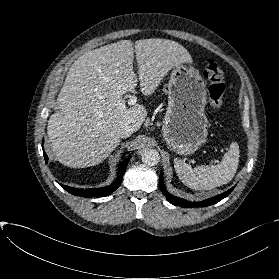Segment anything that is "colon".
<instances>
[{
    "label": "colon",
    "instance_id": "5ec220e1",
    "mask_svg": "<svg viewBox=\"0 0 279 279\" xmlns=\"http://www.w3.org/2000/svg\"><path fill=\"white\" fill-rule=\"evenodd\" d=\"M204 76L209 83V102L213 109L219 110L223 105L225 92L224 72L220 64L214 59H208L203 67Z\"/></svg>",
    "mask_w": 279,
    "mask_h": 279
}]
</instances>
